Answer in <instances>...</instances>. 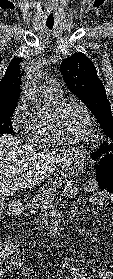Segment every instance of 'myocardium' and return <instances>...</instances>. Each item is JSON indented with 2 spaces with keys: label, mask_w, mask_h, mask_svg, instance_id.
Returning <instances> with one entry per match:
<instances>
[{
  "label": "myocardium",
  "mask_w": 113,
  "mask_h": 279,
  "mask_svg": "<svg viewBox=\"0 0 113 279\" xmlns=\"http://www.w3.org/2000/svg\"><path fill=\"white\" fill-rule=\"evenodd\" d=\"M70 104L78 105L83 110V112L85 113L87 120H88V127H87L86 132L83 135L78 136V137L64 136L63 134H61V132L59 131V129L55 123V118H56L57 114ZM47 122H48V126L50 128L53 138L60 143H67V144L81 143L83 141L88 140L94 130V117H93L91 111L81 100L76 99V98H65V99H62V100L56 102L50 115L47 118Z\"/></svg>",
  "instance_id": "1"
}]
</instances>
